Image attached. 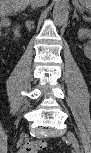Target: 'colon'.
<instances>
[{
  "label": "colon",
  "mask_w": 91,
  "mask_h": 153,
  "mask_svg": "<svg viewBox=\"0 0 91 153\" xmlns=\"http://www.w3.org/2000/svg\"><path fill=\"white\" fill-rule=\"evenodd\" d=\"M3 24L7 25L8 22L4 19ZM46 149V143L42 140H33L27 142L21 150V153H36Z\"/></svg>",
  "instance_id": "obj_1"
}]
</instances>
